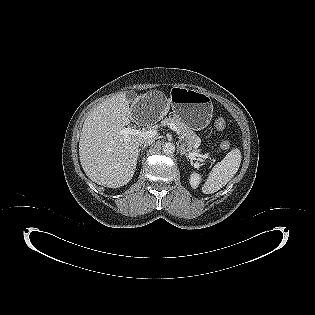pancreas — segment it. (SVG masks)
<instances>
[{"label":"pancreas","mask_w":315,"mask_h":315,"mask_svg":"<svg viewBox=\"0 0 315 315\" xmlns=\"http://www.w3.org/2000/svg\"><path fill=\"white\" fill-rule=\"evenodd\" d=\"M175 124L180 131V138L183 139L186 143L187 149L191 152H199L197 149L200 138L196 133L190 129L185 123H183L179 118H166L163 120L164 125Z\"/></svg>","instance_id":"obj_1"}]
</instances>
